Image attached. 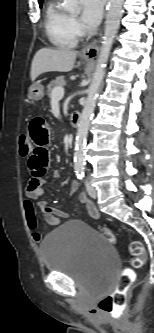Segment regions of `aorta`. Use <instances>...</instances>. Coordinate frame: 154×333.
Listing matches in <instances>:
<instances>
[{
  "mask_svg": "<svg viewBox=\"0 0 154 333\" xmlns=\"http://www.w3.org/2000/svg\"><path fill=\"white\" fill-rule=\"evenodd\" d=\"M123 2L124 0H109V9L106 15L102 45L98 55L95 72L92 77V82L87 91V99L79 119L74 154V167L77 170H82L85 166V149L88 130L96 106L98 91L105 74V66L109 58L115 35L120 26V20L123 14ZM63 7L68 12H80L79 0H64Z\"/></svg>",
  "mask_w": 154,
  "mask_h": 333,
  "instance_id": "aorta-1",
  "label": "aorta"
}]
</instances>
